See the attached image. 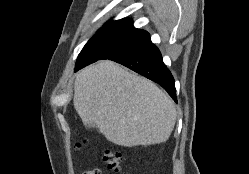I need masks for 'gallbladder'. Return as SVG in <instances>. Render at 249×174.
Listing matches in <instances>:
<instances>
[{
	"instance_id": "bac80fb5",
	"label": "gallbladder",
	"mask_w": 249,
	"mask_h": 174,
	"mask_svg": "<svg viewBox=\"0 0 249 174\" xmlns=\"http://www.w3.org/2000/svg\"><path fill=\"white\" fill-rule=\"evenodd\" d=\"M85 126L89 129L95 128V124L94 123H86Z\"/></svg>"
}]
</instances>
